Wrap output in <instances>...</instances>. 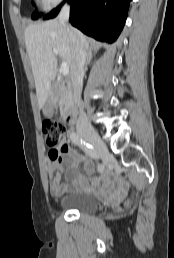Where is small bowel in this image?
Instances as JSON below:
<instances>
[{
	"label": "small bowel",
	"instance_id": "c3829d8e",
	"mask_svg": "<svg viewBox=\"0 0 174 258\" xmlns=\"http://www.w3.org/2000/svg\"><path fill=\"white\" fill-rule=\"evenodd\" d=\"M58 150L57 158L53 152ZM50 162L47 165L50 178V193L60 196L68 187L82 189L94 194H99L107 199H116L126 189L125 182H117L109 173H104L100 178L93 176V162L75 151L66 139L61 142L59 149L49 152ZM82 166L89 177L84 176L79 169ZM66 170L65 182L62 181V172Z\"/></svg>",
	"mask_w": 174,
	"mask_h": 258
}]
</instances>
